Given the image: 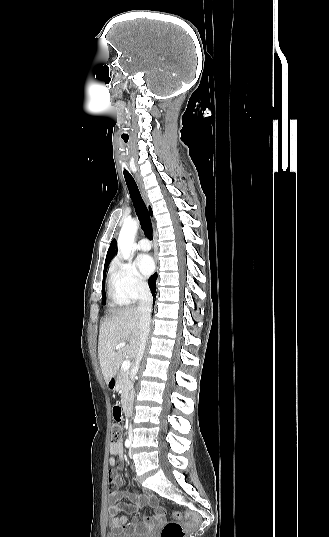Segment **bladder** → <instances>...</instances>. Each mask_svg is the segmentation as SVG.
I'll use <instances>...</instances> for the list:
<instances>
[{
    "instance_id": "obj_1",
    "label": "bladder",
    "mask_w": 329,
    "mask_h": 537,
    "mask_svg": "<svg viewBox=\"0 0 329 537\" xmlns=\"http://www.w3.org/2000/svg\"><path fill=\"white\" fill-rule=\"evenodd\" d=\"M106 537H153L150 533L142 534H128L121 531L110 530L107 532Z\"/></svg>"
}]
</instances>
